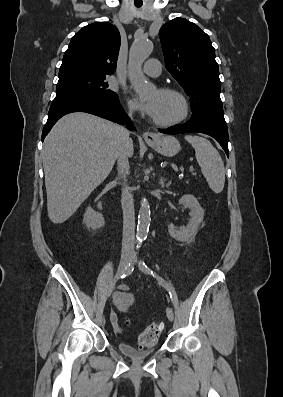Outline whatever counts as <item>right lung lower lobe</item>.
<instances>
[{"mask_svg": "<svg viewBox=\"0 0 283 397\" xmlns=\"http://www.w3.org/2000/svg\"><path fill=\"white\" fill-rule=\"evenodd\" d=\"M72 112L94 114L119 124L125 123L129 125V129L135 130L134 126L130 125V119L120 103H107L84 96H69L53 100L49 109L48 120L43 129L42 141L62 116Z\"/></svg>", "mask_w": 283, "mask_h": 397, "instance_id": "obj_1", "label": "right lung lower lobe"}]
</instances>
